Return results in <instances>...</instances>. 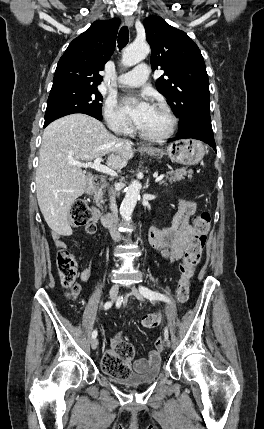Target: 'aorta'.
<instances>
[{
  "label": "aorta",
  "instance_id": "762f6f07",
  "mask_svg": "<svg viewBox=\"0 0 264 429\" xmlns=\"http://www.w3.org/2000/svg\"><path fill=\"white\" fill-rule=\"evenodd\" d=\"M150 47L146 42H133L123 52L122 63L124 66H133L146 58ZM141 189V183L133 180L128 187L125 197L120 206V215L127 221H131L132 213L136 206Z\"/></svg>",
  "mask_w": 264,
  "mask_h": 429
}]
</instances>
